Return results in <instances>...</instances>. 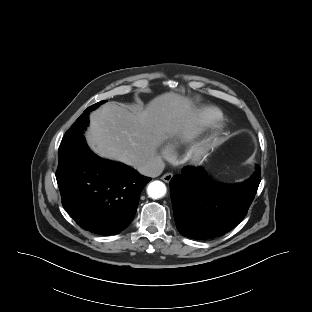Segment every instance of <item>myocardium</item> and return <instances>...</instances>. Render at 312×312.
Masks as SVG:
<instances>
[{
  "label": "myocardium",
  "instance_id": "myocardium-1",
  "mask_svg": "<svg viewBox=\"0 0 312 312\" xmlns=\"http://www.w3.org/2000/svg\"><path fill=\"white\" fill-rule=\"evenodd\" d=\"M209 149L210 146L207 143L195 145L191 150V159L193 161H200L208 153Z\"/></svg>",
  "mask_w": 312,
  "mask_h": 312
}]
</instances>
